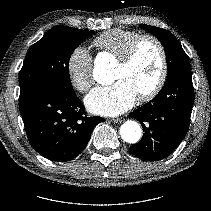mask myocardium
I'll return each instance as SVG.
<instances>
[{
  "label": "myocardium",
  "mask_w": 211,
  "mask_h": 211,
  "mask_svg": "<svg viewBox=\"0 0 211 211\" xmlns=\"http://www.w3.org/2000/svg\"><path fill=\"white\" fill-rule=\"evenodd\" d=\"M145 41H151L156 45L160 54L161 64L160 73L154 86L149 91L139 95L141 101H150L161 92L168 75L167 52L162 41L152 34L140 35L131 43L124 55L118 59V65L121 67H128L133 62L140 45Z\"/></svg>",
  "instance_id": "1"
}]
</instances>
